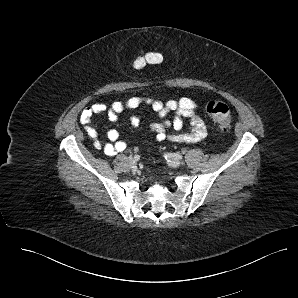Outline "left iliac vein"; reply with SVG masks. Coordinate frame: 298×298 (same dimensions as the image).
Listing matches in <instances>:
<instances>
[{"instance_id":"1","label":"left iliac vein","mask_w":298,"mask_h":298,"mask_svg":"<svg viewBox=\"0 0 298 298\" xmlns=\"http://www.w3.org/2000/svg\"><path fill=\"white\" fill-rule=\"evenodd\" d=\"M167 163L171 167H179L180 166V161L178 159H173V158L171 159V158H169L167 160Z\"/></svg>"}]
</instances>
